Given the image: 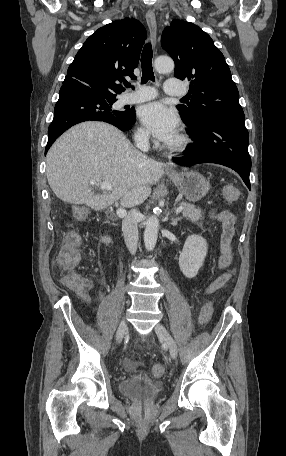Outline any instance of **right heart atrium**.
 <instances>
[{"instance_id":"obj_1","label":"right heart atrium","mask_w":286,"mask_h":456,"mask_svg":"<svg viewBox=\"0 0 286 456\" xmlns=\"http://www.w3.org/2000/svg\"><path fill=\"white\" fill-rule=\"evenodd\" d=\"M136 140L140 143H146L149 141V134L143 127H139L137 129Z\"/></svg>"}]
</instances>
